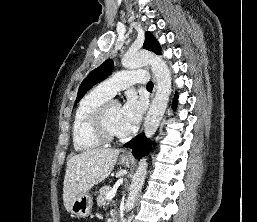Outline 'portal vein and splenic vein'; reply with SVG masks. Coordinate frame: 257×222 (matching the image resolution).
<instances>
[{"label": "portal vein and splenic vein", "mask_w": 257, "mask_h": 222, "mask_svg": "<svg viewBox=\"0 0 257 222\" xmlns=\"http://www.w3.org/2000/svg\"><path fill=\"white\" fill-rule=\"evenodd\" d=\"M120 183H121V181H118V182L114 185L113 189H111V191L107 194V196H106V199H107V200H111V199L116 195V191H117V188H118V186L120 185Z\"/></svg>", "instance_id": "1"}]
</instances>
